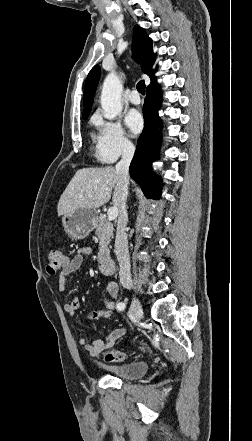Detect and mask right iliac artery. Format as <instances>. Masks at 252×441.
Segmentation results:
<instances>
[{"mask_svg": "<svg viewBox=\"0 0 252 441\" xmlns=\"http://www.w3.org/2000/svg\"><path fill=\"white\" fill-rule=\"evenodd\" d=\"M117 309L119 310V311H123L124 309H125V304L124 303H119L118 305H117Z\"/></svg>", "mask_w": 252, "mask_h": 441, "instance_id": "82829eb1", "label": "right iliac artery"}]
</instances>
